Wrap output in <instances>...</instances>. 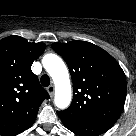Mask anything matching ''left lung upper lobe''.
<instances>
[{
	"instance_id": "5c2ea615",
	"label": "left lung upper lobe",
	"mask_w": 136,
	"mask_h": 136,
	"mask_svg": "<svg viewBox=\"0 0 136 136\" xmlns=\"http://www.w3.org/2000/svg\"><path fill=\"white\" fill-rule=\"evenodd\" d=\"M66 61L73 82V101L58 111L63 121L115 123L126 98V77L118 62L102 48L86 41L53 43Z\"/></svg>"
}]
</instances>
